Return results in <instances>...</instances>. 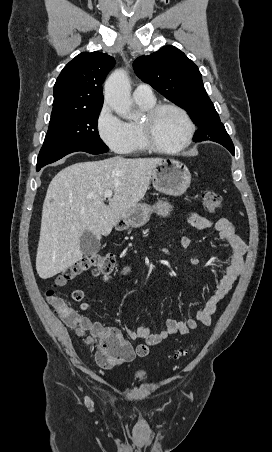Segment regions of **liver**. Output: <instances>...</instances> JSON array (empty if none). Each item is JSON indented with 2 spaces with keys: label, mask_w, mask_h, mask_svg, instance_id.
<instances>
[{
  "label": "liver",
  "mask_w": 272,
  "mask_h": 452,
  "mask_svg": "<svg viewBox=\"0 0 272 452\" xmlns=\"http://www.w3.org/2000/svg\"><path fill=\"white\" fill-rule=\"evenodd\" d=\"M161 158H112L72 164L49 184L43 203L36 270L51 278L82 258L85 230L98 239L146 194L153 169ZM114 195L105 204L104 192Z\"/></svg>",
  "instance_id": "1"
}]
</instances>
